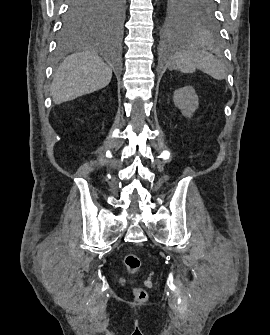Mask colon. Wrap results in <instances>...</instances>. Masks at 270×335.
<instances>
[{
	"label": "colon",
	"instance_id": "obj_1",
	"mask_svg": "<svg viewBox=\"0 0 270 335\" xmlns=\"http://www.w3.org/2000/svg\"><path fill=\"white\" fill-rule=\"evenodd\" d=\"M123 264L127 275L130 277L132 282L133 296L137 300H145L148 296L146 289L137 284L140 277L142 260L141 257L136 253H127L123 257Z\"/></svg>",
	"mask_w": 270,
	"mask_h": 335
}]
</instances>
